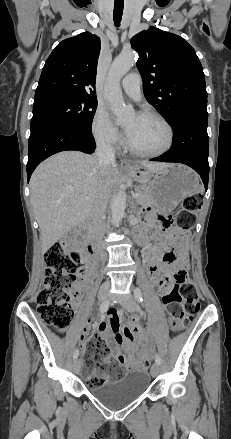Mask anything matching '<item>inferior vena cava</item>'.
Segmentation results:
<instances>
[{"instance_id":"602c4592","label":"inferior vena cava","mask_w":231,"mask_h":439,"mask_svg":"<svg viewBox=\"0 0 231 439\" xmlns=\"http://www.w3.org/2000/svg\"><path fill=\"white\" fill-rule=\"evenodd\" d=\"M96 155L98 158V165L102 171H105L108 167L115 164V151L110 143L105 141H99L97 143ZM110 192L105 184L99 188L93 208L91 211V218L93 220V227L96 232V236L99 241L102 240L105 225V210L108 204ZM102 259H105V255L101 252Z\"/></svg>"}]
</instances>
